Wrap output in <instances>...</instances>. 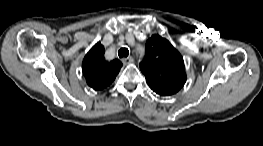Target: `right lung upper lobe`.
Returning a JSON list of instances; mask_svg holds the SVG:
<instances>
[{"label": "right lung upper lobe", "instance_id": "obj_1", "mask_svg": "<svg viewBox=\"0 0 263 146\" xmlns=\"http://www.w3.org/2000/svg\"><path fill=\"white\" fill-rule=\"evenodd\" d=\"M105 49L98 42L85 55L82 71L87 84L94 90H102L109 86L122 67L118 59L107 61L104 58Z\"/></svg>", "mask_w": 263, "mask_h": 146}]
</instances>
